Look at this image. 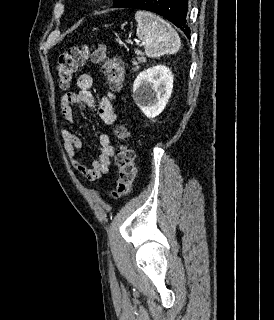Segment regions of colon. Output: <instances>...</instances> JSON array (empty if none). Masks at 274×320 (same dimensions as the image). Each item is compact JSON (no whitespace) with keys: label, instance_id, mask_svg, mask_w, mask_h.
Segmentation results:
<instances>
[{"label":"colon","instance_id":"5ec220e1","mask_svg":"<svg viewBox=\"0 0 274 320\" xmlns=\"http://www.w3.org/2000/svg\"><path fill=\"white\" fill-rule=\"evenodd\" d=\"M88 58L95 64L103 65L113 87L122 86L124 71L118 57L108 58L104 45H99L93 50L87 45H79L68 48L57 59L56 74L61 87L68 88L71 85L78 68ZM117 135L120 139V146L116 153L118 183L110 192L114 199L123 197L131 190L135 177L134 151L129 146V132L125 128H121Z\"/></svg>","mask_w":274,"mask_h":320}]
</instances>
